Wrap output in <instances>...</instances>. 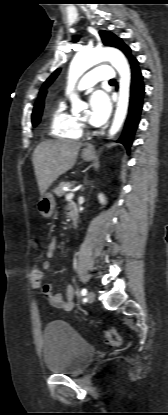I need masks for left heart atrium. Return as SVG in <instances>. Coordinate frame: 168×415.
Segmentation results:
<instances>
[{
	"label": "left heart atrium",
	"mask_w": 168,
	"mask_h": 415,
	"mask_svg": "<svg viewBox=\"0 0 168 415\" xmlns=\"http://www.w3.org/2000/svg\"><path fill=\"white\" fill-rule=\"evenodd\" d=\"M111 112V102L108 95L96 90L90 97L89 122L94 126L103 125L109 118Z\"/></svg>",
	"instance_id": "obj_1"
}]
</instances>
